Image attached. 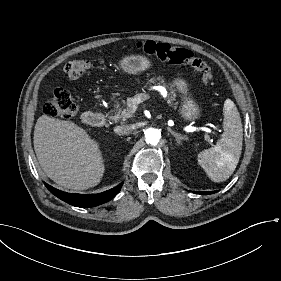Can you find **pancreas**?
<instances>
[{"instance_id":"1","label":"pancreas","mask_w":281,"mask_h":281,"mask_svg":"<svg viewBox=\"0 0 281 281\" xmlns=\"http://www.w3.org/2000/svg\"><path fill=\"white\" fill-rule=\"evenodd\" d=\"M157 80L159 81L160 85L164 86L166 84L164 79H162V78H157ZM171 101H172V98H168L167 102L171 103ZM126 110H127L126 102H123V105L117 106V113L115 115H110V117L117 122L121 121Z\"/></svg>"}]
</instances>
